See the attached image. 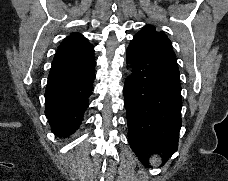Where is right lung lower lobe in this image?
<instances>
[{"label": "right lung lower lobe", "mask_w": 228, "mask_h": 181, "mask_svg": "<svg viewBox=\"0 0 228 181\" xmlns=\"http://www.w3.org/2000/svg\"><path fill=\"white\" fill-rule=\"evenodd\" d=\"M93 53L91 46L52 62L45 91V115L58 137L74 133L81 124L95 79Z\"/></svg>", "instance_id": "right-lung-lower-lobe-1"}]
</instances>
